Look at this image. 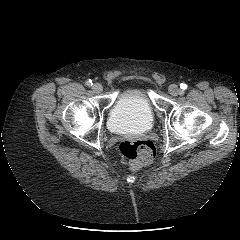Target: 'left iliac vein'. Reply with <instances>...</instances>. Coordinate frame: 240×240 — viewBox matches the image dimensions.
Returning <instances> with one entry per match:
<instances>
[{"label": "left iliac vein", "mask_w": 240, "mask_h": 240, "mask_svg": "<svg viewBox=\"0 0 240 240\" xmlns=\"http://www.w3.org/2000/svg\"><path fill=\"white\" fill-rule=\"evenodd\" d=\"M168 91L172 96H177L182 92L176 84L170 85Z\"/></svg>", "instance_id": "1"}]
</instances>
